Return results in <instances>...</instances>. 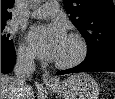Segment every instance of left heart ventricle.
<instances>
[{"instance_id": "obj_1", "label": "left heart ventricle", "mask_w": 115, "mask_h": 99, "mask_svg": "<svg viewBox=\"0 0 115 99\" xmlns=\"http://www.w3.org/2000/svg\"><path fill=\"white\" fill-rule=\"evenodd\" d=\"M77 50H78L77 44L74 41L67 38L57 60L60 61L69 60L73 56H75Z\"/></svg>"}]
</instances>
